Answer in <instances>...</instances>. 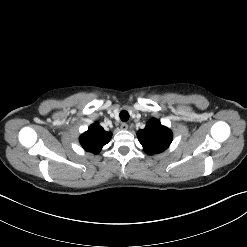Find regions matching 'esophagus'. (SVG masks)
Returning <instances> with one entry per match:
<instances>
[{
	"instance_id": "obj_1",
	"label": "esophagus",
	"mask_w": 247,
	"mask_h": 247,
	"mask_svg": "<svg viewBox=\"0 0 247 247\" xmlns=\"http://www.w3.org/2000/svg\"><path fill=\"white\" fill-rule=\"evenodd\" d=\"M120 128L122 130H127L128 129V124L127 123H122L121 126H120Z\"/></svg>"
}]
</instances>
